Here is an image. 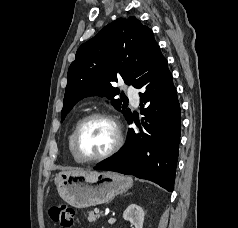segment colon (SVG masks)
Masks as SVG:
<instances>
[{"label":"colon","instance_id":"obj_1","mask_svg":"<svg viewBox=\"0 0 238 228\" xmlns=\"http://www.w3.org/2000/svg\"><path fill=\"white\" fill-rule=\"evenodd\" d=\"M75 211L72 207L60 204L49 209L51 220L62 228H71L74 223Z\"/></svg>","mask_w":238,"mask_h":228}]
</instances>
